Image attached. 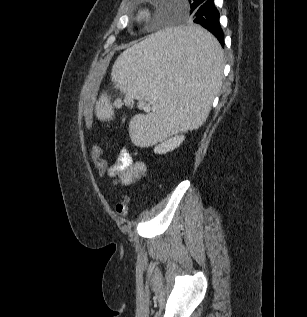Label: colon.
I'll return each instance as SVG.
<instances>
[{
  "label": "colon",
  "mask_w": 307,
  "mask_h": 317,
  "mask_svg": "<svg viewBox=\"0 0 307 317\" xmlns=\"http://www.w3.org/2000/svg\"><path fill=\"white\" fill-rule=\"evenodd\" d=\"M92 161L100 176H103L107 172V163L102 157V149L100 147H93L91 151ZM130 197L124 195L121 200L116 204V212L120 216H126L128 213Z\"/></svg>",
  "instance_id": "colon-1"
}]
</instances>
